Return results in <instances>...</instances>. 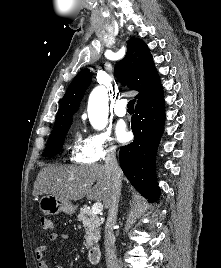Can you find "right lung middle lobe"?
I'll return each mask as SVG.
<instances>
[{
    "instance_id": "right-lung-middle-lobe-1",
    "label": "right lung middle lobe",
    "mask_w": 221,
    "mask_h": 268,
    "mask_svg": "<svg viewBox=\"0 0 221 268\" xmlns=\"http://www.w3.org/2000/svg\"><path fill=\"white\" fill-rule=\"evenodd\" d=\"M72 120L54 126V129L48 139L46 149L43 152L44 157H52L59 153L63 147L64 139L70 128Z\"/></svg>"
}]
</instances>
